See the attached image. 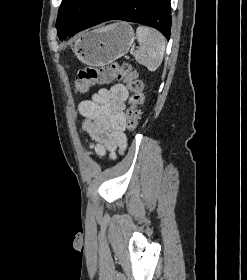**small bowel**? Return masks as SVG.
<instances>
[{
  "label": "small bowel",
  "mask_w": 247,
  "mask_h": 280,
  "mask_svg": "<svg viewBox=\"0 0 247 280\" xmlns=\"http://www.w3.org/2000/svg\"><path fill=\"white\" fill-rule=\"evenodd\" d=\"M128 90L122 84H115L110 89H100L90 100L79 104V111L84 117L83 129L94 141L90 145L94 153L103 157L126 147V118L124 114Z\"/></svg>",
  "instance_id": "c3829d8e"
}]
</instances>
